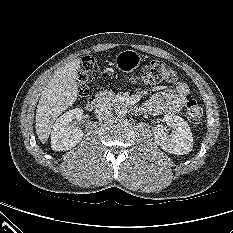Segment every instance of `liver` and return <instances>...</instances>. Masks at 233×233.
Returning <instances> with one entry per match:
<instances>
[{
	"label": "liver",
	"mask_w": 233,
	"mask_h": 233,
	"mask_svg": "<svg viewBox=\"0 0 233 233\" xmlns=\"http://www.w3.org/2000/svg\"><path fill=\"white\" fill-rule=\"evenodd\" d=\"M81 59H75L56 70L55 74L44 87L36 109V134L45 143L52 130L56 118L77 99V70Z\"/></svg>",
	"instance_id": "1"
}]
</instances>
